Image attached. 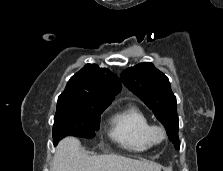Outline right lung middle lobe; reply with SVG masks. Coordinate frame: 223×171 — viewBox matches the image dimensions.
Wrapping results in <instances>:
<instances>
[{"mask_svg":"<svg viewBox=\"0 0 223 171\" xmlns=\"http://www.w3.org/2000/svg\"><path fill=\"white\" fill-rule=\"evenodd\" d=\"M105 105L57 104L53 125V142L72 135L92 138L100 127V115Z\"/></svg>","mask_w":223,"mask_h":171,"instance_id":"1","label":"right lung middle lobe"}]
</instances>
